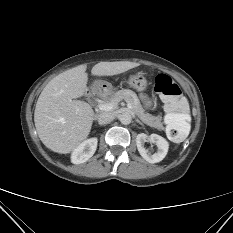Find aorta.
Masks as SVG:
<instances>
[{
  "label": "aorta",
  "instance_id": "aorta-1",
  "mask_svg": "<svg viewBox=\"0 0 233 233\" xmlns=\"http://www.w3.org/2000/svg\"><path fill=\"white\" fill-rule=\"evenodd\" d=\"M119 120H120V122H121L122 124L128 125V124H130L131 121H132V116H131L130 113L124 112V113H122V114L119 116Z\"/></svg>",
  "mask_w": 233,
  "mask_h": 233
}]
</instances>
